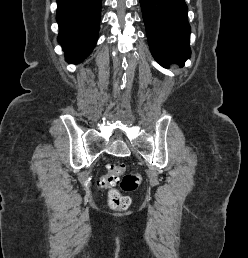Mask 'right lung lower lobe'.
Masks as SVG:
<instances>
[{
  "mask_svg": "<svg viewBox=\"0 0 248 258\" xmlns=\"http://www.w3.org/2000/svg\"><path fill=\"white\" fill-rule=\"evenodd\" d=\"M102 0H57L58 41L69 63H79L96 44Z\"/></svg>",
  "mask_w": 248,
  "mask_h": 258,
  "instance_id": "98d812e1",
  "label": "right lung lower lobe"
}]
</instances>
